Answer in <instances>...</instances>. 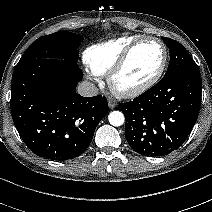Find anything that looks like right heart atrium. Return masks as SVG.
Segmentation results:
<instances>
[{"label":"right heart atrium","mask_w":212,"mask_h":212,"mask_svg":"<svg viewBox=\"0 0 212 212\" xmlns=\"http://www.w3.org/2000/svg\"><path fill=\"white\" fill-rule=\"evenodd\" d=\"M87 74L93 80H98L99 76H100L97 73H95L94 71H92L91 69L87 70Z\"/></svg>","instance_id":"right-heart-atrium-1"}]
</instances>
